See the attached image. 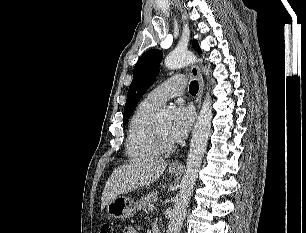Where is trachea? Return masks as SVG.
Listing matches in <instances>:
<instances>
[{
    "instance_id": "trachea-1",
    "label": "trachea",
    "mask_w": 306,
    "mask_h": 233,
    "mask_svg": "<svg viewBox=\"0 0 306 233\" xmlns=\"http://www.w3.org/2000/svg\"><path fill=\"white\" fill-rule=\"evenodd\" d=\"M198 88H199L198 82L192 81L189 86V91L191 94H196L198 92Z\"/></svg>"
}]
</instances>
